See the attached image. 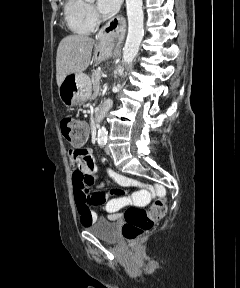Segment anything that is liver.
<instances>
[{"label":"liver","mask_w":240,"mask_h":288,"mask_svg":"<svg viewBox=\"0 0 240 288\" xmlns=\"http://www.w3.org/2000/svg\"><path fill=\"white\" fill-rule=\"evenodd\" d=\"M94 44V39L81 35H69L60 41L56 57L58 87L67 75L83 73L88 68Z\"/></svg>","instance_id":"liver-1"}]
</instances>
